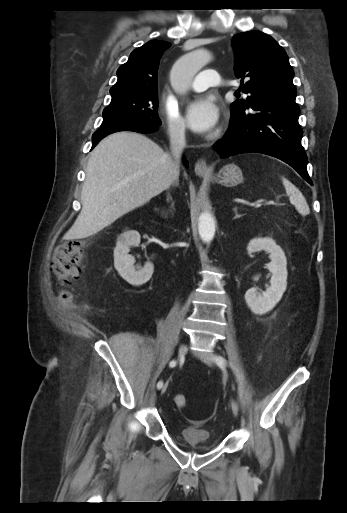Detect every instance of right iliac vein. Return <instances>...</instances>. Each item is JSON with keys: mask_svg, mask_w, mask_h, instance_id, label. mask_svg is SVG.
Segmentation results:
<instances>
[{"mask_svg": "<svg viewBox=\"0 0 347 513\" xmlns=\"http://www.w3.org/2000/svg\"><path fill=\"white\" fill-rule=\"evenodd\" d=\"M186 351H187V347L186 345L182 344L179 348V358H182L185 354H186ZM167 384H165L163 387H162V390H161V393L164 394L167 390Z\"/></svg>", "mask_w": 347, "mask_h": 513, "instance_id": "63e3f726", "label": "right iliac vein"}]
</instances>
